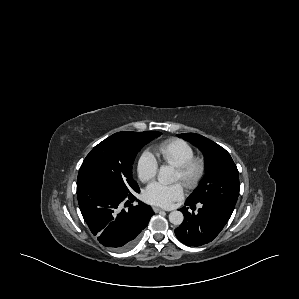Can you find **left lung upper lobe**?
I'll list each match as a JSON object with an SVG mask.
<instances>
[{
	"instance_id": "left-lung-upper-lobe-1",
	"label": "left lung upper lobe",
	"mask_w": 299,
	"mask_h": 299,
	"mask_svg": "<svg viewBox=\"0 0 299 299\" xmlns=\"http://www.w3.org/2000/svg\"><path fill=\"white\" fill-rule=\"evenodd\" d=\"M178 136L197 146L205 159V176L187 200L194 204L217 203L233 212L240 184L238 169L230 154L199 134L183 133Z\"/></svg>"
}]
</instances>
